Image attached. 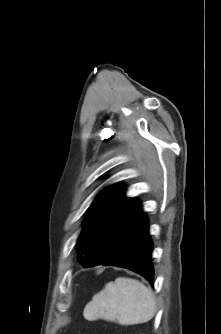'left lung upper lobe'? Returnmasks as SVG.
Listing matches in <instances>:
<instances>
[{"label": "left lung upper lobe", "instance_id": "obj_1", "mask_svg": "<svg viewBox=\"0 0 221 334\" xmlns=\"http://www.w3.org/2000/svg\"><path fill=\"white\" fill-rule=\"evenodd\" d=\"M128 203L124 187L116 183L103 190L90 205L85 226L76 244L82 266L88 267L95 260L94 250L100 238Z\"/></svg>", "mask_w": 221, "mask_h": 334}]
</instances>
